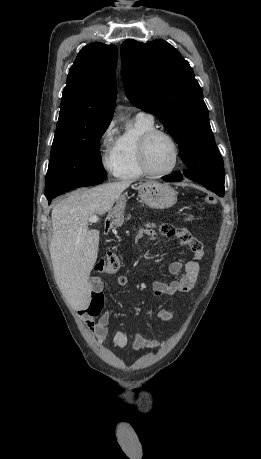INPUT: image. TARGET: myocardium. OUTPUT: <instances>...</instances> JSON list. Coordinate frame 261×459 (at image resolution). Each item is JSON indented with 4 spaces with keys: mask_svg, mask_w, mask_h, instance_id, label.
I'll use <instances>...</instances> for the list:
<instances>
[{
    "mask_svg": "<svg viewBox=\"0 0 261 459\" xmlns=\"http://www.w3.org/2000/svg\"><path fill=\"white\" fill-rule=\"evenodd\" d=\"M160 135L168 138L170 142L172 143L173 149H174V163L172 167L168 171H165V172L153 171L149 165V159H148L150 143L155 137L160 136ZM138 155H139V162H140L141 168L143 169L145 174L151 177L161 178V177H166V176L171 175L178 168V165L180 162V147H179L178 141L170 132L166 130L155 128V129H152L146 132L140 138L139 146H138Z\"/></svg>",
    "mask_w": 261,
    "mask_h": 459,
    "instance_id": "f54148a6",
    "label": "myocardium"
}]
</instances>
